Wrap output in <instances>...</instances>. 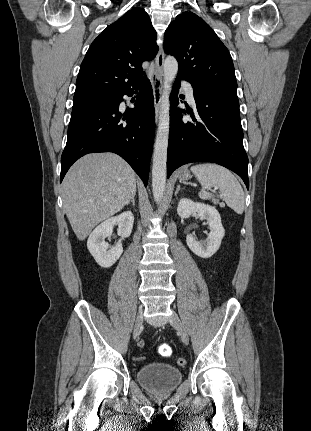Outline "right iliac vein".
<instances>
[{
    "label": "right iliac vein",
    "mask_w": 311,
    "mask_h": 431,
    "mask_svg": "<svg viewBox=\"0 0 311 431\" xmlns=\"http://www.w3.org/2000/svg\"><path fill=\"white\" fill-rule=\"evenodd\" d=\"M142 324H143V310L142 308H140L135 320L134 332H133L134 338L139 335Z\"/></svg>",
    "instance_id": "1"
}]
</instances>
